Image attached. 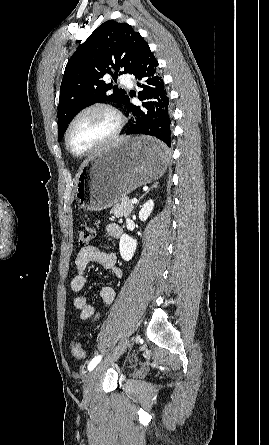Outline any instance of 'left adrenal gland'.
I'll return each instance as SVG.
<instances>
[{"label":"left adrenal gland","mask_w":269,"mask_h":445,"mask_svg":"<svg viewBox=\"0 0 269 445\" xmlns=\"http://www.w3.org/2000/svg\"><path fill=\"white\" fill-rule=\"evenodd\" d=\"M153 188H157V183H155L151 188H149L140 198H139V201L141 200V198H143L147 193H149L150 192V190L151 189H153ZM139 201H138V203H139Z\"/></svg>","instance_id":"left-adrenal-gland-1"}]
</instances>
